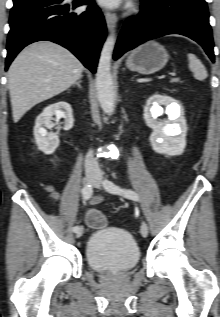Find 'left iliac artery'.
I'll list each match as a JSON object with an SVG mask.
<instances>
[{
    "instance_id": "left-iliac-artery-1",
    "label": "left iliac artery",
    "mask_w": 220,
    "mask_h": 317,
    "mask_svg": "<svg viewBox=\"0 0 220 317\" xmlns=\"http://www.w3.org/2000/svg\"><path fill=\"white\" fill-rule=\"evenodd\" d=\"M104 187L107 191L113 194H119L133 201H139V196L136 192L130 189L121 188L118 185L114 184L112 181L105 180Z\"/></svg>"
}]
</instances>
